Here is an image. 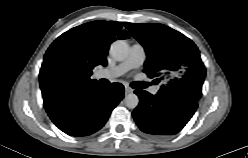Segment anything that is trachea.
<instances>
[{
	"mask_svg": "<svg viewBox=\"0 0 248 158\" xmlns=\"http://www.w3.org/2000/svg\"><path fill=\"white\" fill-rule=\"evenodd\" d=\"M148 85H149V83H147V82H134L131 84V86L134 89H143V88L148 87Z\"/></svg>",
	"mask_w": 248,
	"mask_h": 158,
	"instance_id": "obj_1",
	"label": "trachea"
}]
</instances>
